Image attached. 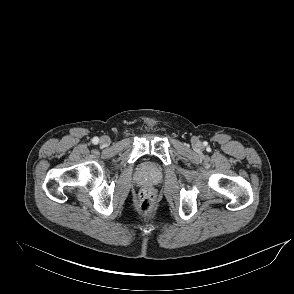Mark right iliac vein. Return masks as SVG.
<instances>
[{
  "label": "right iliac vein",
  "instance_id": "obj_1",
  "mask_svg": "<svg viewBox=\"0 0 294 294\" xmlns=\"http://www.w3.org/2000/svg\"><path fill=\"white\" fill-rule=\"evenodd\" d=\"M99 143L103 147H107L110 144V138L108 136H103L100 138Z\"/></svg>",
  "mask_w": 294,
  "mask_h": 294
}]
</instances>
